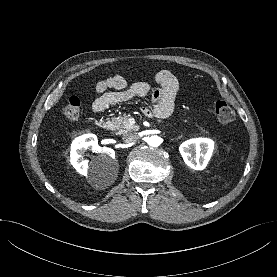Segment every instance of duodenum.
Returning a JSON list of instances; mask_svg holds the SVG:
<instances>
[{"label":"duodenum","mask_w":277,"mask_h":277,"mask_svg":"<svg viewBox=\"0 0 277 277\" xmlns=\"http://www.w3.org/2000/svg\"><path fill=\"white\" fill-rule=\"evenodd\" d=\"M97 127H99L100 129L103 130H108L110 128V123L109 121L105 120V119H99L96 122Z\"/></svg>","instance_id":"obj_1"}]
</instances>
